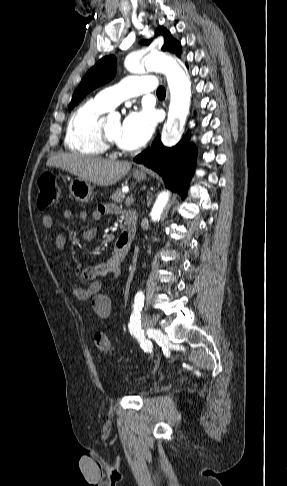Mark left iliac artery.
Here are the masks:
<instances>
[{
  "mask_svg": "<svg viewBox=\"0 0 287 486\" xmlns=\"http://www.w3.org/2000/svg\"><path fill=\"white\" fill-rule=\"evenodd\" d=\"M144 306V294L142 291H138L134 299V310L130 317V323L128 325L131 335L135 336L140 342L142 349L145 352L152 351V344L144 336V331L141 329V310Z\"/></svg>",
  "mask_w": 287,
  "mask_h": 486,
  "instance_id": "left-iliac-artery-1",
  "label": "left iliac artery"
}]
</instances>
